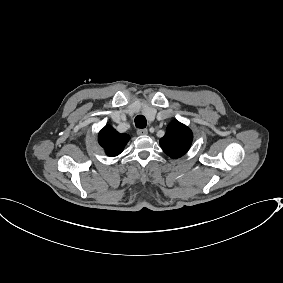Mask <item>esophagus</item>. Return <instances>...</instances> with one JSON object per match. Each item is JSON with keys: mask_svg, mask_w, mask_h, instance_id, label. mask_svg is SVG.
<instances>
[{"mask_svg": "<svg viewBox=\"0 0 283 283\" xmlns=\"http://www.w3.org/2000/svg\"><path fill=\"white\" fill-rule=\"evenodd\" d=\"M148 134V130L145 128H141L137 130V135H147Z\"/></svg>", "mask_w": 283, "mask_h": 283, "instance_id": "esophagus-1", "label": "esophagus"}]
</instances>
